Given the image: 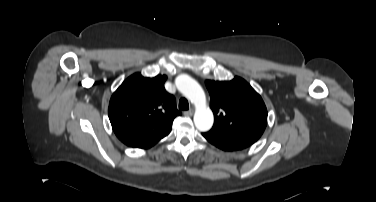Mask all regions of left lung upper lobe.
Masks as SVG:
<instances>
[{
  "instance_id": "5c2ea615",
  "label": "left lung upper lobe",
  "mask_w": 376,
  "mask_h": 202,
  "mask_svg": "<svg viewBox=\"0 0 376 202\" xmlns=\"http://www.w3.org/2000/svg\"><path fill=\"white\" fill-rule=\"evenodd\" d=\"M206 86L214 113L212 129L256 142L267 125V109L260 95L240 77L207 80Z\"/></svg>"
}]
</instances>
